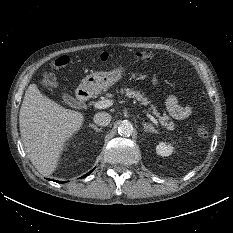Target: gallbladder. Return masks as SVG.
I'll return each mask as SVG.
<instances>
[{"mask_svg": "<svg viewBox=\"0 0 233 233\" xmlns=\"http://www.w3.org/2000/svg\"><path fill=\"white\" fill-rule=\"evenodd\" d=\"M62 99L67 105H69L71 107L77 106V101L69 94L62 93Z\"/></svg>", "mask_w": 233, "mask_h": 233, "instance_id": "bac80fb5", "label": "gallbladder"}]
</instances>
